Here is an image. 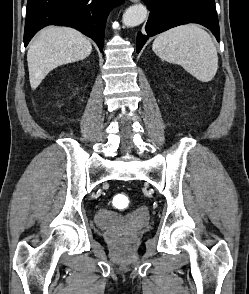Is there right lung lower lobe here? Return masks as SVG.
I'll return each mask as SVG.
<instances>
[{
  "instance_id": "right-lung-lower-lobe-1",
  "label": "right lung lower lobe",
  "mask_w": 249,
  "mask_h": 294,
  "mask_svg": "<svg viewBox=\"0 0 249 294\" xmlns=\"http://www.w3.org/2000/svg\"><path fill=\"white\" fill-rule=\"evenodd\" d=\"M124 0H28L24 45L47 25L69 26L93 39L103 50L107 16Z\"/></svg>"
}]
</instances>
